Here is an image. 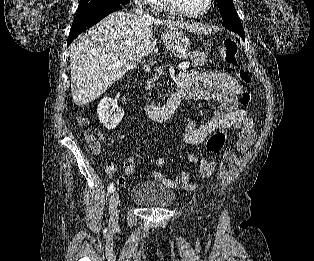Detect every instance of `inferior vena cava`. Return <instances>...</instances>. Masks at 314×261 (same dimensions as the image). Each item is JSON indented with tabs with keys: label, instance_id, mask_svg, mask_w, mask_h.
I'll use <instances>...</instances> for the list:
<instances>
[{
	"label": "inferior vena cava",
	"instance_id": "1",
	"mask_svg": "<svg viewBox=\"0 0 314 261\" xmlns=\"http://www.w3.org/2000/svg\"><path fill=\"white\" fill-rule=\"evenodd\" d=\"M135 13L138 16L143 17L144 19H151V17L148 14H143L142 5L139 2L137 8H135Z\"/></svg>",
	"mask_w": 314,
	"mask_h": 261
}]
</instances>
